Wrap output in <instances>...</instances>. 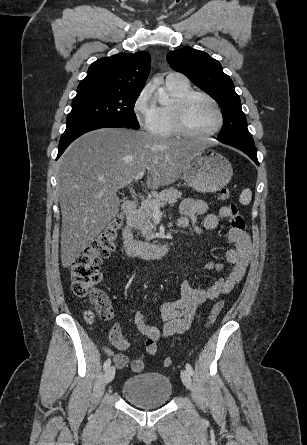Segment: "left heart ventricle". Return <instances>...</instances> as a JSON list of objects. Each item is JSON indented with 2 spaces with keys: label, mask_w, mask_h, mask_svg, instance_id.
I'll use <instances>...</instances> for the list:
<instances>
[{
  "label": "left heart ventricle",
  "mask_w": 307,
  "mask_h": 445,
  "mask_svg": "<svg viewBox=\"0 0 307 445\" xmlns=\"http://www.w3.org/2000/svg\"><path fill=\"white\" fill-rule=\"evenodd\" d=\"M187 119L195 131L208 132L219 125L220 115L213 104L203 99H196L188 107Z\"/></svg>",
  "instance_id": "left-heart-ventricle-1"
}]
</instances>
